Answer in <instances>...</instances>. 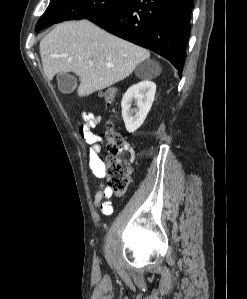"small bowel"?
<instances>
[{
    "label": "small bowel",
    "instance_id": "c3829d8e",
    "mask_svg": "<svg viewBox=\"0 0 247 299\" xmlns=\"http://www.w3.org/2000/svg\"><path fill=\"white\" fill-rule=\"evenodd\" d=\"M101 119L102 117L100 115L84 113V122L79 127L81 138L90 145L88 164L93 174L97 177H101L104 164L100 158L101 138L93 132V129ZM111 195V190L106 185L100 184L94 197L95 206L106 216L111 215L113 212V204L110 200Z\"/></svg>",
    "mask_w": 247,
    "mask_h": 299
}]
</instances>
